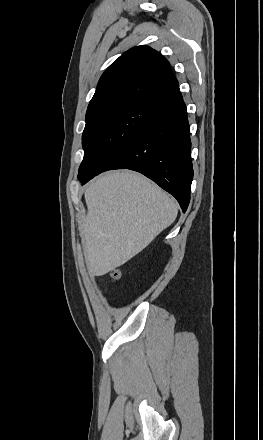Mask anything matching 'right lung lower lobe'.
I'll return each mask as SVG.
<instances>
[{
  "label": "right lung lower lobe",
  "instance_id": "right-lung-lower-lobe-1",
  "mask_svg": "<svg viewBox=\"0 0 263 440\" xmlns=\"http://www.w3.org/2000/svg\"><path fill=\"white\" fill-rule=\"evenodd\" d=\"M189 130L186 105L178 90L155 105L143 127L114 154L103 172H140L172 194L185 212L193 179Z\"/></svg>",
  "mask_w": 263,
  "mask_h": 440
}]
</instances>
